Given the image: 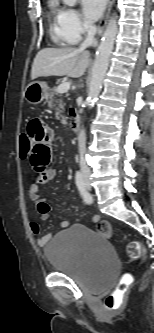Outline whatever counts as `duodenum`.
Masks as SVG:
<instances>
[{"mask_svg": "<svg viewBox=\"0 0 154 333\" xmlns=\"http://www.w3.org/2000/svg\"><path fill=\"white\" fill-rule=\"evenodd\" d=\"M80 116L74 113L70 118V128L73 133H77L80 130Z\"/></svg>", "mask_w": 154, "mask_h": 333, "instance_id": "duodenum-1", "label": "duodenum"}]
</instances>
